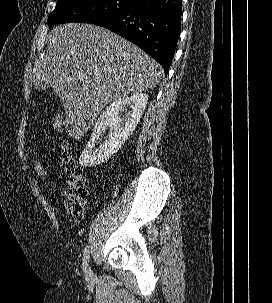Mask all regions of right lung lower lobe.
Here are the masks:
<instances>
[{
  "label": "right lung lower lobe",
  "instance_id": "right-lung-lower-lobe-1",
  "mask_svg": "<svg viewBox=\"0 0 272 303\" xmlns=\"http://www.w3.org/2000/svg\"><path fill=\"white\" fill-rule=\"evenodd\" d=\"M182 0H139L131 8L98 19L105 27L133 42L169 71L181 32Z\"/></svg>",
  "mask_w": 272,
  "mask_h": 303
}]
</instances>
